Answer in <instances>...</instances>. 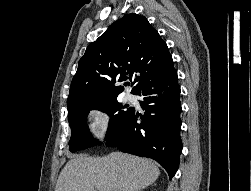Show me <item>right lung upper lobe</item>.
Segmentation results:
<instances>
[{
  "label": "right lung upper lobe",
  "mask_w": 251,
  "mask_h": 191,
  "mask_svg": "<svg viewBox=\"0 0 251 191\" xmlns=\"http://www.w3.org/2000/svg\"><path fill=\"white\" fill-rule=\"evenodd\" d=\"M174 73L172 57L158 32L145 17L126 14L87 47L71 82L67 109L117 99L124 90L114 85L117 81L133 80L131 93L137 95Z\"/></svg>",
  "instance_id": "cb5924a9"
}]
</instances>
